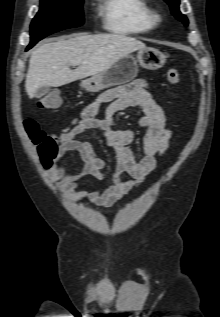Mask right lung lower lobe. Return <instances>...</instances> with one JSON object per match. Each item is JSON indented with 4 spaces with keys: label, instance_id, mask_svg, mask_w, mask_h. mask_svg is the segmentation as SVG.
Instances as JSON below:
<instances>
[{
    "label": "right lung lower lobe",
    "instance_id": "right-lung-lower-lobe-1",
    "mask_svg": "<svg viewBox=\"0 0 220 317\" xmlns=\"http://www.w3.org/2000/svg\"><path fill=\"white\" fill-rule=\"evenodd\" d=\"M34 45L33 44H30L28 47H27V50L30 49L31 47H33Z\"/></svg>",
    "mask_w": 220,
    "mask_h": 317
}]
</instances>
